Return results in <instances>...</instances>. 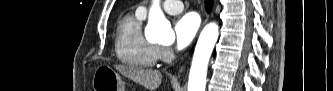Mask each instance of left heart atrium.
I'll use <instances>...</instances> for the list:
<instances>
[{"instance_id": "obj_1", "label": "left heart atrium", "mask_w": 333, "mask_h": 91, "mask_svg": "<svg viewBox=\"0 0 333 91\" xmlns=\"http://www.w3.org/2000/svg\"><path fill=\"white\" fill-rule=\"evenodd\" d=\"M199 28V19L194 13L179 17L174 23L175 44L178 49L186 48L194 39Z\"/></svg>"}]
</instances>
